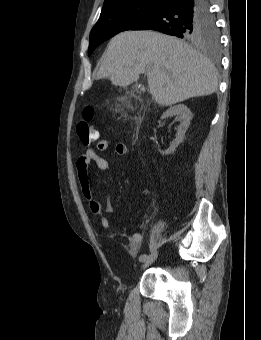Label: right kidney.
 <instances>
[{
    "label": "right kidney",
    "mask_w": 261,
    "mask_h": 340,
    "mask_svg": "<svg viewBox=\"0 0 261 340\" xmlns=\"http://www.w3.org/2000/svg\"><path fill=\"white\" fill-rule=\"evenodd\" d=\"M173 115H177V118L180 120V125L177 129L176 138L172 141L169 149H167L165 152H162L163 155L174 153L178 145L183 141L186 130L188 129L190 120L192 118L190 109L183 104H179L166 110L161 116V119H166Z\"/></svg>",
    "instance_id": "obj_1"
}]
</instances>
